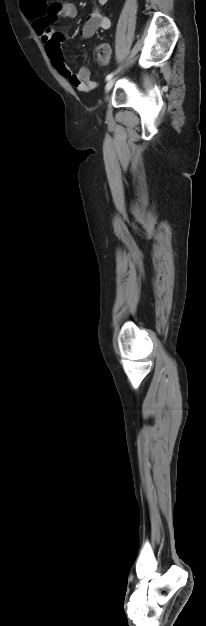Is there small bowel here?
<instances>
[{
	"label": "small bowel",
	"instance_id": "small-bowel-1",
	"mask_svg": "<svg viewBox=\"0 0 206 626\" xmlns=\"http://www.w3.org/2000/svg\"><path fill=\"white\" fill-rule=\"evenodd\" d=\"M108 0H97L81 29L83 39L90 38L98 30H107L111 26L108 17L102 15L99 6H103ZM26 15L33 20V29L44 43L46 53L53 63L58 73L65 78L75 89L80 92H90L94 90L98 83L91 80L90 71L87 67H81L74 73L67 65L62 54V44L65 36L60 31L52 29V24L61 18L73 19L77 15L74 4L68 2H57L47 4L46 0H36L32 5H25Z\"/></svg>",
	"mask_w": 206,
	"mask_h": 626
}]
</instances>
